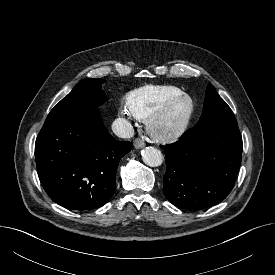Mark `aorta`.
<instances>
[{
	"instance_id": "762f6f07",
	"label": "aorta",
	"mask_w": 275,
	"mask_h": 275,
	"mask_svg": "<svg viewBox=\"0 0 275 275\" xmlns=\"http://www.w3.org/2000/svg\"><path fill=\"white\" fill-rule=\"evenodd\" d=\"M143 162L150 167H158L163 163L161 151L154 147H146L141 152Z\"/></svg>"
}]
</instances>
